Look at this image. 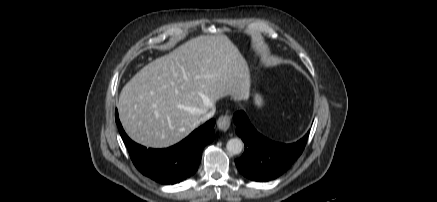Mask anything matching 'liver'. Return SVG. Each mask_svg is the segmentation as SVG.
Here are the masks:
<instances>
[{"label": "liver", "mask_w": 437, "mask_h": 202, "mask_svg": "<svg viewBox=\"0 0 437 202\" xmlns=\"http://www.w3.org/2000/svg\"><path fill=\"white\" fill-rule=\"evenodd\" d=\"M250 71L224 35H201L144 66L123 87L120 121L137 143L166 148L189 135L202 113L230 95L248 98Z\"/></svg>", "instance_id": "obj_1"}]
</instances>
